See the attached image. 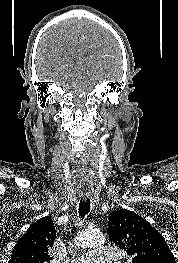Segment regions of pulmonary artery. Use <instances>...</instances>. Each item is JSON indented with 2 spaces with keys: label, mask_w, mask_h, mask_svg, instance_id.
<instances>
[{
  "label": "pulmonary artery",
  "mask_w": 178,
  "mask_h": 263,
  "mask_svg": "<svg viewBox=\"0 0 178 263\" xmlns=\"http://www.w3.org/2000/svg\"><path fill=\"white\" fill-rule=\"evenodd\" d=\"M122 251L112 247H98L71 260V263H117Z\"/></svg>",
  "instance_id": "e3ab8cb5"
}]
</instances>
